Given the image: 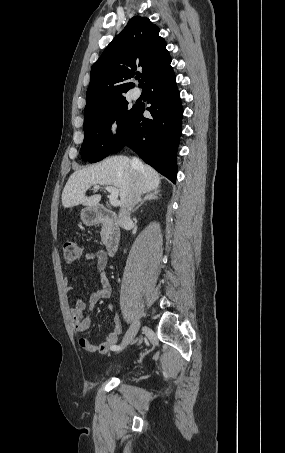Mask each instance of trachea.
I'll list each match as a JSON object with an SVG mask.
<instances>
[{
	"label": "trachea",
	"mask_w": 285,
	"mask_h": 453,
	"mask_svg": "<svg viewBox=\"0 0 285 453\" xmlns=\"http://www.w3.org/2000/svg\"><path fill=\"white\" fill-rule=\"evenodd\" d=\"M141 76L139 75L137 78L139 79Z\"/></svg>",
	"instance_id": "3493384b"
}]
</instances>
